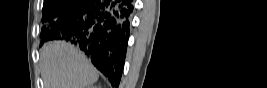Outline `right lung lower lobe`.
I'll return each instance as SVG.
<instances>
[{"label": "right lung lower lobe", "instance_id": "right-lung-lower-lobe-1", "mask_svg": "<svg viewBox=\"0 0 267 88\" xmlns=\"http://www.w3.org/2000/svg\"><path fill=\"white\" fill-rule=\"evenodd\" d=\"M132 11V0H77L56 19L49 21L45 28L48 34L45 41L64 38L75 43L108 77L112 86L118 87Z\"/></svg>", "mask_w": 267, "mask_h": 88}]
</instances>
